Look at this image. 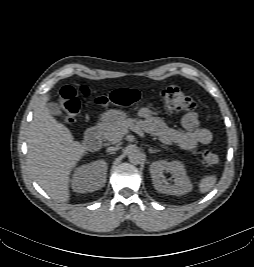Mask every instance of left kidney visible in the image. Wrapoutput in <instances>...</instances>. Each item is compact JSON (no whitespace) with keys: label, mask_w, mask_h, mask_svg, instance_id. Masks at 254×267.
<instances>
[{"label":"left kidney","mask_w":254,"mask_h":267,"mask_svg":"<svg viewBox=\"0 0 254 267\" xmlns=\"http://www.w3.org/2000/svg\"><path fill=\"white\" fill-rule=\"evenodd\" d=\"M164 172L172 174L174 184L169 185ZM154 188L164 194L184 195L192 190V184L186 174L184 165L180 161L167 162L164 160L153 162L150 166Z\"/></svg>","instance_id":"obj_1"}]
</instances>
